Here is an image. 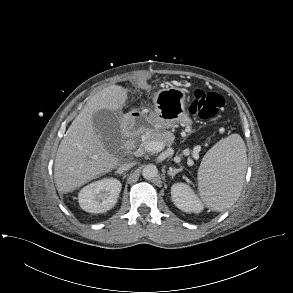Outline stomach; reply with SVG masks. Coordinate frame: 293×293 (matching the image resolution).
<instances>
[{
    "instance_id": "1",
    "label": "stomach",
    "mask_w": 293,
    "mask_h": 293,
    "mask_svg": "<svg viewBox=\"0 0 293 293\" xmlns=\"http://www.w3.org/2000/svg\"><path fill=\"white\" fill-rule=\"evenodd\" d=\"M186 92V89L174 86L159 90L153 98L154 112L142 115L156 128H171L180 123L187 127L189 133L193 132L192 121L185 109Z\"/></svg>"
}]
</instances>
